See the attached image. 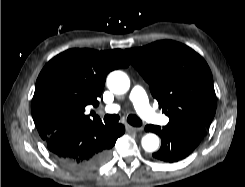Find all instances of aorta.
<instances>
[{
    "mask_svg": "<svg viewBox=\"0 0 245 187\" xmlns=\"http://www.w3.org/2000/svg\"><path fill=\"white\" fill-rule=\"evenodd\" d=\"M107 86L115 94H124L130 88L129 77L122 71H113L107 78ZM142 147L147 152L157 150L159 138L155 134H147L142 138Z\"/></svg>",
    "mask_w": 245,
    "mask_h": 187,
    "instance_id": "aorta-1",
    "label": "aorta"
}]
</instances>
